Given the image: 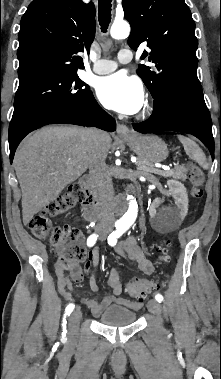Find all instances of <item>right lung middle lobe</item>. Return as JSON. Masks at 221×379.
<instances>
[{"label": "right lung middle lobe", "instance_id": "obj_1", "mask_svg": "<svg viewBox=\"0 0 221 379\" xmlns=\"http://www.w3.org/2000/svg\"><path fill=\"white\" fill-rule=\"evenodd\" d=\"M91 93L76 71L43 74L20 81L9 125V140L40 119L87 100Z\"/></svg>", "mask_w": 221, "mask_h": 379}]
</instances>
